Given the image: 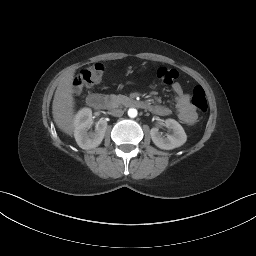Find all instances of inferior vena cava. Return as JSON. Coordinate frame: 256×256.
<instances>
[{"label": "inferior vena cava", "mask_w": 256, "mask_h": 256, "mask_svg": "<svg viewBox=\"0 0 256 256\" xmlns=\"http://www.w3.org/2000/svg\"><path fill=\"white\" fill-rule=\"evenodd\" d=\"M124 114V111L122 109H113L111 111V115L115 117H121Z\"/></svg>", "instance_id": "obj_1"}]
</instances>
